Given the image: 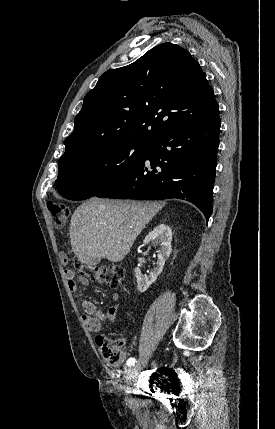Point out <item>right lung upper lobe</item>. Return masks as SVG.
Returning a JSON list of instances; mask_svg holds the SVG:
<instances>
[{
	"label": "right lung upper lobe",
	"mask_w": 275,
	"mask_h": 429,
	"mask_svg": "<svg viewBox=\"0 0 275 429\" xmlns=\"http://www.w3.org/2000/svg\"><path fill=\"white\" fill-rule=\"evenodd\" d=\"M219 113L206 74L190 53L163 43L105 72L84 98L59 165L121 143H146Z\"/></svg>",
	"instance_id": "1"
}]
</instances>
